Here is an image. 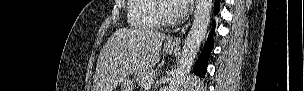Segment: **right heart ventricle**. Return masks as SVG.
<instances>
[{"label":"right heart ventricle","mask_w":304,"mask_h":91,"mask_svg":"<svg viewBox=\"0 0 304 91\" xmlns=\"http://www.w3.org/2000/svg\"><path fill=\"white\" fill-rule=\"evenodd\" d=\"M156 0H129L127 20L130 26L139 29H153L158 22L154 15Z\"/></svg>","instance_id":"e07e8e85"}]
</instances>
